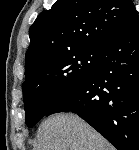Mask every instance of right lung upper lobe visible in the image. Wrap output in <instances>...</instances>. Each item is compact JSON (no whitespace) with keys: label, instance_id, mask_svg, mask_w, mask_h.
<instances>
[{"label":"right lung upper lobe","instance_id":"1","mask_svg":"<svg viewBox=\"0 0 139 150\" xmlns=\"http://www.w3.org/2000/svg\"><path fill=\"white\" fill-rule=\"evenodd\" d=\"M135 13L132 0H57L30 27L26 75L58 55L103 49Z\"/></svg>","mask_w":139,"mask_h":150}]
</instances>
